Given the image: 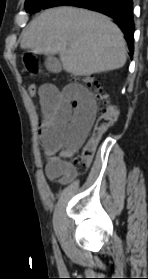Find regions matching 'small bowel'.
I'll use <instances>...</instances> for the list:
<instances>
[{
  "instance_id": "c3829d8e",
  "label": "small bowel",
  "mask_w": 148,
  "mask_h": 279,
  "mask_svg": "<svg viewBox=\"0 0 148 279\" xmlns=\"http://www.w3.org/2000/svg\"><path fill=\"white\" fill-rule=\"evenodd\" d=\"M43 118L39 137L48 157L45 175L51 181L69 184L78 176L77 169L64 158L84 143L96 115L92 93L83 85L71 83L58 89L43 85L38 91Z\"/></svg>"
}]
</instances>
